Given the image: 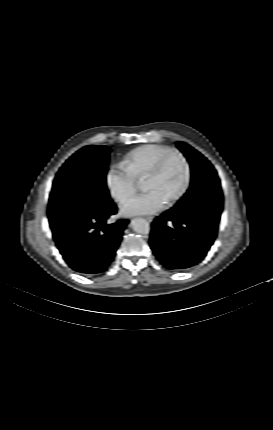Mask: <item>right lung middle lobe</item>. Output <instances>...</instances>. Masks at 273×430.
<instances>
[{"instance_id": "right-lung-middle-lobe-1", "label": "right lung middle lobe", "mask_w": 273, "mask_h": 430, "mask_svg": "<svg viewBox=\"0 0 273 430\" xmlns=\"http://www.w3.org/2000/svg\"><path fill=\"white\" fill-rule=\"evenodd\" d=\"M110 151L103 145L86 146L60 168L48 204L51 225L114 204L106 187Z\"/></svg>"}]
</instances>
